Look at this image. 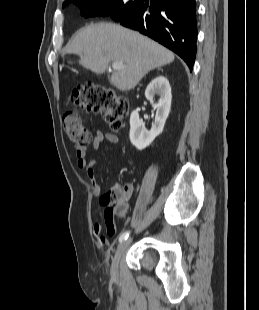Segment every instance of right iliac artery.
<instances>
[{"mask_svg":"<svg viewBox=\"0 0 259 310\" xmlns=\"http://www.w3.org/2000/svg\"><path fill=\"white\" fill-rule=\"evenodd\" d=\"M128 236H129V231L122 233L119 237V242L121 243L122 241L126 240Z\"/></svg>","mask_w":259,"mask_h":310,"instance_id":"obj_1","label":"right iliac artery"}]
</instances>
